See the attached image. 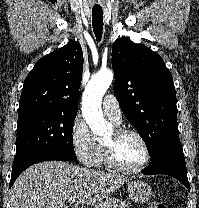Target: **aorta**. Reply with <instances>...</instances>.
<instances>
[{"label": "aorta", "mask_w": 199, "mask_h": 208, "mask_svg": "<svg viewBox=\"0 0 199 208\" xmlns=\"http://www.w3.org/2000/svg\"><path fill=\"white\" fill-rule=\"evenodd\" d=\"M113 80V72L100 70L92 76L82 97V114L94 135L103 136L111 130L102 113V98Z\"/></svg>", "instance_id": "aorta-1"}]
</instances>
